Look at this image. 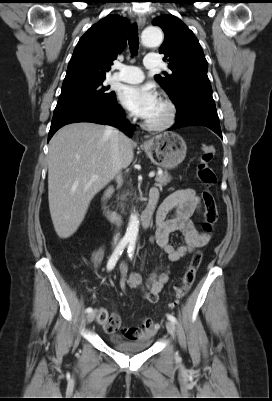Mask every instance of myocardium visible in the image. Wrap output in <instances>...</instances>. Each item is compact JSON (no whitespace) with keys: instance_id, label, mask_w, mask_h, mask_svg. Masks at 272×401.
<instances>
[{"instance_id":"myocardium-1","label":"myocardium","mask_w":272,"mask_h":401,"mask_svg":"<svg viewBox=\"0 0 272 401\" xmlns=\"http://www.w3.org/2000/svg\"><path fill=\"white\" fill-rule=\"evenodd\" d=\"M159 101L165 106L166 115L160 121H143V126L148 130L162 131L171 128L176 123L178 110L175 103L170 98L164 96L160 97Z\"/></svg>"}]
</instances>
